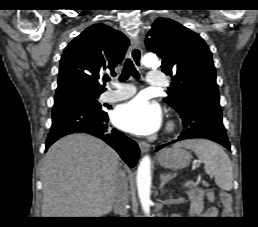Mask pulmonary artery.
I'll list each match as a JSON object with an SVG mask.
<instances>
[{"instance_id":"1","label":"pulmonary artery","mask_w":258,"mask_h":227,"mask_svg":"<svg viewBox=\"0 0 258 227\" xmlns=\"http://www.w3.org/2000/svg\"><path fill=\"white\" fill-rule=\"evenodd\" d=\"M147 82L149 85L159 87L165 84L164 74L151 70L148 73ZM114 90L106 91L102 94L101 99L103 102H118L133 96L136 89L132 85L121 84L114 82Z\"/></svg>"}]
</instances>
